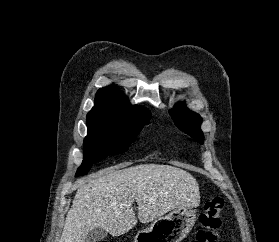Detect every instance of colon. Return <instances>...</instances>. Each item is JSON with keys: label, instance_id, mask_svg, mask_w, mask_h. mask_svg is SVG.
<instances>
[{"label": "colon", "instance_id": "colon-1", "mask_svg": "<svg viewBox=\"0 0 279 242\" xmlns=\"http://www.w3.org/2000/svg\"><path fill=\"white\" fill-rule=\"evenodd\" d=\"M223 208L224 199L221 196H214L207 200L203 212L199 215L202 228L191 242H217Z\"/></svg>", "mask_w": 279, "mask_h": 242}]
</instances>
